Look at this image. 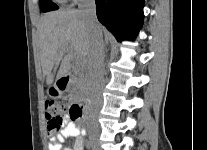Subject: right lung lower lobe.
Wrapping results in <instances>:
<instances>
[{
    "label": "right lung lower lobe",
    "instance_id": "obj_1",
    "mask_svg": "<svg viewBox=\"0 0 207 150\" xmlns=\"http://www.w3.org/2000/svg\"><path fill=\"white\" fill-rule=\"evenodd\" d=\"M98 20L118 41L133 40L143 23L144 0H95Z\"/></svg>",
    "mask_w": 207,
    "mask_h": 150
}]
</instances>
